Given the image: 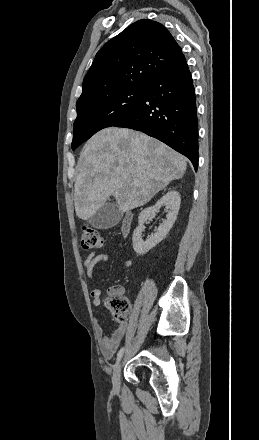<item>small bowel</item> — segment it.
Segmentation results:
<instances>
[{"label":"small bowel","instance_id":"c3829d8e","mask_svg":"<svg viewBox=\"0 0 259 440\" xmlns=\"http://www.w3.org/2000/svg\"><path fill=\"white\" fill-rule=\"evenodd\" d=\"M108 245H117L118 247L123 248V244L121 242L110 241L108 242ZM107 260V254L96 255L94 253H89L84 260L85 273L93 287L90 292V296L93 299V305L96 309L101 306V291L95 287V281L93 278L94 268L97 264L104 263ZM124 264L125 266L129 267L132 265V260L127 258L125 259ZM125 331V326H120L111 335H105L103 329L100 326H97L96 334L99 340V349L104 358L109 359L113 356L124 337Z\"/></svg>","mask_w":259,"mask_h":440}]
</instances>
